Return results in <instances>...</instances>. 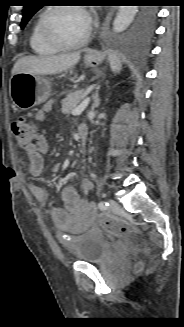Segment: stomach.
I'll list each match as a JSON object with an SVG mask.
<instances>
[{
	"label": "stomach",
	"instance_id": "1",
	"mask_svg": "<svg viewBox=\"0 0 184 327\" xmlns=\"http://www.w3.org/2000/svg\"><path fill=\"white\" fill-rule=\"evenodd\" d=\"M100 61L97 53L89 52L84 57L86 66H95ZM51 95L50 82L38 74L17 72L10 80V96L15 107L28 110L44 103Z\"/></svg>",
	"mask_w": 184,
	"mask_h": 327
}]
</instances>
